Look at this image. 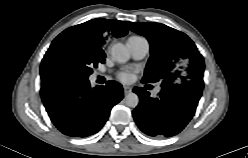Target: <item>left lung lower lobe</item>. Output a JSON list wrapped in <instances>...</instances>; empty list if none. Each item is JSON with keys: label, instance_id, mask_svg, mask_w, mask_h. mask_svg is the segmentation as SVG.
<instances>
[{"label": "left lung lower lobe", "instance_id": "0a47b994", "mask_svg": "<svg viewBox=\"0 0 248 158\" xmlns=\"http://www.w3.org/2000/svg\"><path fill=\"white\" fill-rule=\"evenodd\" d=\"M140 103L132 112L140 130L149 136L171 137L178 134L193 117L202 90L180 86L161 90L158 97L142 87L133 90Z\"/></svg>", "mask_w": 248, "mask_h": 158}]
</instances>
